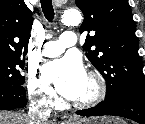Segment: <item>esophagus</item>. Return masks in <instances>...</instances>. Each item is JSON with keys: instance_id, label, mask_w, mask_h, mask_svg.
I'll list each match as a JSON object with an SVG mask.
<instances>
[{"instance_id": "34e87169", "label": "esophagus", "mask_w": 145, "mask_h": 124, "mask_svg": "<svg viewBox=\"0 0 145 124\" xmlns=\"http://www.w3.org/2000/svg\"><path fill=\"white\" fill-rule=\"evenodd\" d=\"M66 122L69 123L73 120V118L71 116H66Z\"/></svg>"}]
</instances>
